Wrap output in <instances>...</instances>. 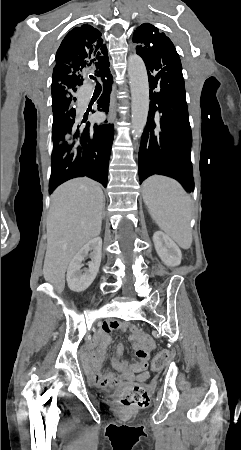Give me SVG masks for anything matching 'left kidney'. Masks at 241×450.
Returning <instances> with one entry per match:
<instances>
[{
	"label": "left kidney",
	"instance_id": "obj_1",
	"mask_svg": "<svg viewBox=\"0 0 241 450\" xmlns=\"http://www.w3.org/2000/svg\"><path fill=\"white\" fill-rule=\"evenodd\" d=\"M155 250L166 266H179L182 260L181 250L163 232H155L153 236Z\"/></svg>",
	"mask_w": 241,
	"mask_h": 450
}]
</instances>
